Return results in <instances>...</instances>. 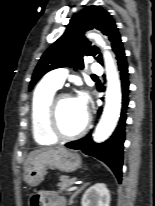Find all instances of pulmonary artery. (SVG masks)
<instances>
[{
	"label": "pulmonary artery",
	"mask_w": 155,
	"mask_h": 206,
	"mask_svg": "<svg viewBox=\"0 0 155 206\" xmlns=\"http://www.w3.org/2000/svg\"><path fill=\"white\" fill-rule=\"evenodd\" d=\"M92 70L95 72H100L101 67L97 62H94L92 63ZM66 77H67V70L63 68H59L49 72L45 76V82L55 86L56 88H60L63 85Z\"/></svg>",
	"instance_id": "1"
}]
</instances>
